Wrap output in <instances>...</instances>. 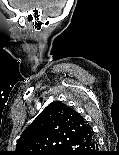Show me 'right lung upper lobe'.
<instances>
[{
  "label": "right lung upper lobe",
  "mask_w": 119,
  "mask_h": 155,
  "mask_svg": "<svg viewBox=\"0 0 119 155\" xmlns=\"http://www.w3.org/2000/svg\"><path fill=\"white\" fill-rule=\"evenodd\" d=\"M89 125L60 101L49 104L22 133L13 155H59Z\"/></svg>",
  "instance_id": "right-lung-upper-lobe-1"
}]
</instances>
